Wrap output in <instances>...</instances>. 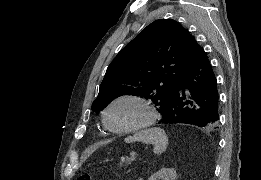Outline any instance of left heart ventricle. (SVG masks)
<instances>
[{
  "label": "left heart ventricle",
  "mask_w": 261,
  "mask_h": 180,
  "mask_svg": "<svg viewBox=\"0 0 261 180\" xmlns=\"http://www.w3.org/2000/svg\"><path fill=\"white\" fill-rule=\"evenodd\" d=\"M143 115V108L131 101L115 105L109 113V122L116 129H123L136 124Z\"/></svg>",
  "instance_id": "obj_1"
}]
</instances>
